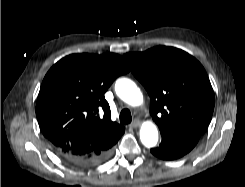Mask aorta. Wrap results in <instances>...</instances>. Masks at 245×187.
<instances>
[{"label":"aorta","instance_id":"1","mask_svg":"<svg viewBox=\"0 0 245 187\" xmlns=\"http://www.w3.org/2000/svg\"><path fill=\"white\" fill-rule=\"evenodd\" d=\"M115 91L120 99L132 106H138L143 101V95L137 85L130 79L121 78L115 83ZM140 140L148 148L158 142V130L154 123L144 122L140 129Z\"/></svg>","mask_w":245,"mask_h":187}]
</instances>
